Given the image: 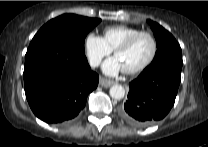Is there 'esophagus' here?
Instances as JSON below:
<instances>
[{
	"label": "esophagus",
	"mask_w": 208,
	"mask_h": 147,
	"mask_svg": "<svg viewBox=\"0 0 208 147\" xmlns=\"http://www.w3.org/2000/svg\"><path fill=\"white\" fill-rule=\"evenodd\" d=\"M100 84H101L103 87L108 88V87H110L111 85L114 84V81L108 80V79H106V78H101V79H100Z\"/></svg>",
	"instance_id": "1"
}]
</instances>
